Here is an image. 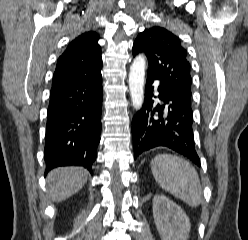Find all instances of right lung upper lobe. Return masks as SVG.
I'll use <instances>...</instances> for the list:
<instances>
[{
    "instance_id": "obj_1",
    "label": "right lung upper lobe",
    "mask_w": 248,
    "mask_h": 240,
    "mask_svg": "<svg viewBox=\"0 0 248 240\" xmlns=\"http://www.w3.org/2000/svg\"><path fill=\"white\" fill-rule=\"evenodd\" d=\"M98 40L96 32L88 31L69 43L57 60L52 88L62 87L101 72V47Z\"/></svg>"
}]
</instances>
